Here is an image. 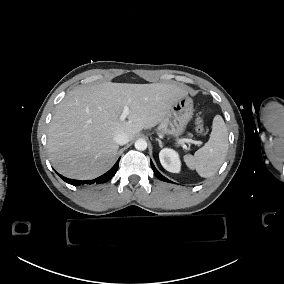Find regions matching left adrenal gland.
I'll list each match as a JSON object with an SVG mask.
<instances>
[{"mask_svg":"<svg viewBox=\"0 0 284 284\" xmlns=\"http://www.w3.org/2000/svg\"><path fill=\"white\" fill-rule=\"evenodd\" d=\"M156 141L159 142V146H160V147H163L162 141H161L160 139L156 138Z\"/></svg>","mask_w":284,"mask_h":284,"instance_id":"1","label":"left adrenal gland"}]
</instances>
